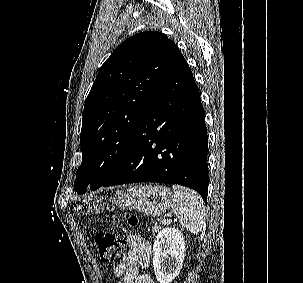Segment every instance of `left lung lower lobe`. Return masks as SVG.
Segmentation results:
<instances>
[{
    "label": "left lung lower lobe",
    "mask_w": 303,
    "mask_h": 283,
    "mask_svg": "<svg viewBox=\"0 0 303 283\" xmlns=\"http://www.w3.org/2000/svg\"><path fill=\"white\" fill-rule=\"evenodd\" d=\"M205 113L192 72L180 53L155 93L118 170L102 186L159 182L208 190Z\"/></svg>",
    "instance_id": "0a47b994"
}]
</instances>
